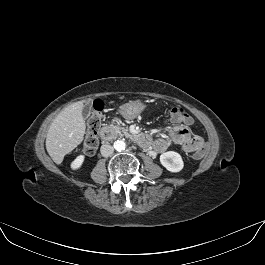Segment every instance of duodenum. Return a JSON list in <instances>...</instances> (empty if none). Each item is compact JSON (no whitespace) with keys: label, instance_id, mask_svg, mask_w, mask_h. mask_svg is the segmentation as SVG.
Returning a JSON list of instances; mask_svg holds the SVG:
<instances>
[{"label":"duodenum","instance_id":"duodenum-1","mask_svg":"<svg viewBox=\"0 0 265 265\" xmlns=\"http://www.w3.org/2000/svg\"><path fill=\"white\" fill-rule=\"evenodd\" d=\"M113 134H114L113 130L109 127H103L100 131V136H101L102 140H104V141L111 139ZM132 138L135 141H137L141 146H144V147H148L151 143V138L146 133L135 134L132 136Z\"/></svg>","mask_w":265,"mask_h":265}]
</instances>
